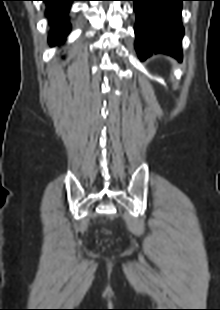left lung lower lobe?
Wrapping results in <instances>:
<instances>
[{"label": "left lung lower lobe", "mask_w": 220, "mask_h": 310, "mask_svg": "<svg viewBox=\"0 0 220 310\" xmlns=\"http://www.w3.org/2000/svg\"><path fill=\"white\" fill-rule=\"evenodd\" d=\"M136 12L135 48L140 60L164 53L182 60V1L130 0Z\"/></svg>", "instance_id": "1"}]
</instances>
